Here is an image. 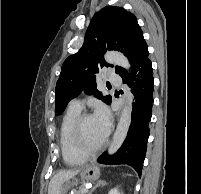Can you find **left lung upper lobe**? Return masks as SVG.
<instances>
[{
  "label": "left lung upper lobe",
  "instance_id": "1",
  "mask_svg": "<svg viewBox=\"0 0 201 194\" xmlns=\"http://www.w3.org/2000/svg\"><path fill=\"white\" fill-rule=\"evenodd\" d=\"M143 39L136 17L122 7L106 6L97 12L87 29L83 46L62 65L56 84L55 114L60 115L68 102L82 91L95 94L110 104L111 96L102 97L94 82L102 67H113L103 59L104 53L121 51L131 62ZM124 72L123 68L116 67L120 76Z\"/></svg>",
  "mask_w": 201,
  "mask_h": 194
}]
</instances>
